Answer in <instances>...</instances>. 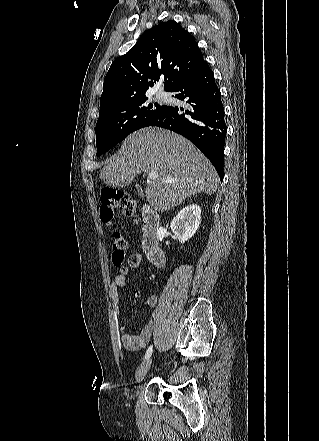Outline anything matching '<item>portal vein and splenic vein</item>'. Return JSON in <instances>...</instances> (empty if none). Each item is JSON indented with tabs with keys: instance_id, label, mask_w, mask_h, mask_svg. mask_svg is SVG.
Returning <instances> with one entry per match:
<instances>
[{
	"instance_id": "portal-vein-and-splenic-vein-1",
	"label": "portal vein and splenic vein",
	"mask_w": 319,
	"mask_h": 441,
	"mask_svg": "<svg viewBox=\"0 0 319 441\" xmlns=\"http://www.w3.org/2000/svg\"><path fill=\"white\" fill-rule=\"evenodd\" d=\"M158 177H159L158 172L150 171L148 173V177L147 178L149 180H156ZM162 181L165 182V183H176L177 182L176 179H172V178H163Z\"/></svg>"
}]
</instances>
